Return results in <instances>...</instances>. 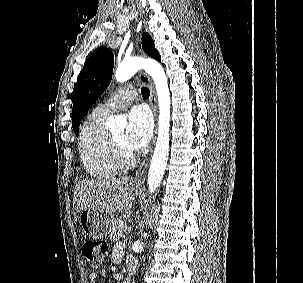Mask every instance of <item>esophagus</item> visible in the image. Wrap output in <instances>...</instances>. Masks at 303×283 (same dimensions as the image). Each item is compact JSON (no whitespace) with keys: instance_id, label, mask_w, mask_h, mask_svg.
Listing matches in <instances>:
<instances>
[{"instance_id":"esophagus-1","label":"esophagus","mask_w":303,"mask_h":283,"mask_svg":"<svg viewBox=\"0 0 303 283\" xmlns=\"http://www.w3.org/2000/svg\"><path fill=\"white\" fill-rule=\"evenodd\" d=\"M139 78L145 84H147L150 89V105H151V108H152V111L154 114L155 123H156L157 122V98H156V92H155L154 85H153L151 79L149 78V76L143 72L140 73ZM156 131H157V124L155 125V134L152 139L150 150H149L147 156L144 158V160L141 162V164L139 165V167L136 170L134 181L137 185H143L145 182L147 168H148L150 158H151V155L153 152L154 142H155V138H156Z\"/></svg>"}]
</instances>
